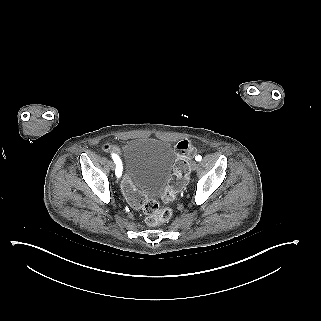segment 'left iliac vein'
Wrapping results in <instances>:
<instances>
[{
  "label": "left iliac vein",
  "mask_w": 321,
  "mask_h": 321,
  "mask_svg": "<svg viewBox=\"0 0 321 321\" xmlns=\"http://www.w3.org/2000/svg\"><path fill=\"white\" fill-rule=\"evenodd\" d=\"M197 167H198V163L196 161H192L190 165L191 170L195 171Z\"/></svg>",
  "instance_id": "1"
}]
</instances>
